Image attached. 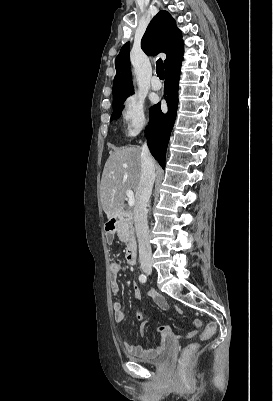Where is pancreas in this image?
Wrapping results in <instances>:
<instances>
[{"instance_id":"cf45deb5","label":"pancreas","mask_w":273,"mask_h":401,"mask_svg":"<svg viewBox=\"0 0 273 401\" xmlns=\"http://www.w3.org/2000/svg\"><path fill=\"white\" fill-rule=\"evenodd\" d=\"M132 233H133V227H131L130 229L128 223H118L117 235L120 241H123V243H128Z\"/></svg>"}]
</instances>
